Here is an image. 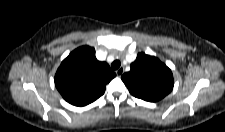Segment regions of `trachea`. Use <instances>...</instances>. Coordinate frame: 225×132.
I'll use <instances>...</instances> for the list:
<instances>
[{
    "instance_id": "trachea-1",
    "label": "trachea",
    "mask_w": 225,
    "mask_h": 132,
    "mask_svg": "<svg viewBox=\"0 0 225 132\" xmlns=\"http://www.w3.org/2000/svg\"><path fill=\"white\" fill-rule=\"evenodd\" d=\"M120 65H121L120 61L119 60H115V61L112 62L111 68L113 70H117L120 67Z\"/></svg>"
}]
</instances>
